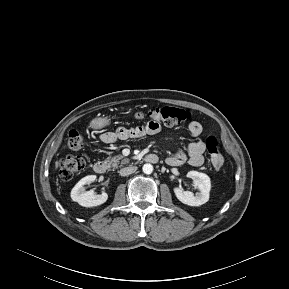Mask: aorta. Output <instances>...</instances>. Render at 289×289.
<instances>
[{"instance_id": "1", "label": "aorta", "mask_w": 289, "mask_h": 289, "mask_svg": "<svg viewBox=\"0 0 289 289\" xmlns=\"http://www.w3.org/2000/svg\"><path fill=\"white\" fill-rule=\"evenodd\" d=\"M142 169L145 174H151L153 172V166L151 164H144Z\"/></svg>"}]
</instances>
